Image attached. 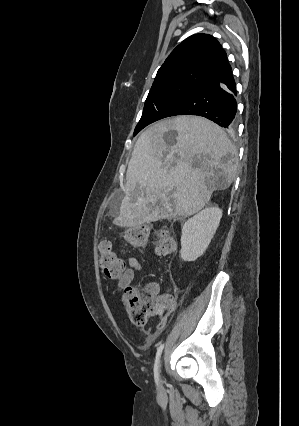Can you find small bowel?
I'll list each match as a JSON object with an SVG mask.
<instances>
[{"label": "small bowel", "instance_id": "obj_1", "mask_svg": "<svg viewBox=\"0 0 299 426\" xmlns=\"http://www.w3.org/2000/svg\"><path fill=\"white\" fill-rule=\"evenodd\" d=\"M126 262L129 265V268L125 269L120 276L113 278V280L116 281L117 291L121 294L123 300L125 298L124 294L126 289L134 279L135 272L143 271L142 264L136 258L129 257ZM148 288H150L155 294L159 292V286L157 284H150ZM164 325L165 320L162 319L156 326L150 328L148 331L149 339H155L163 331Z\"/></svg>", "mask_w": 299, "mask_h": 426}]
</instances>
